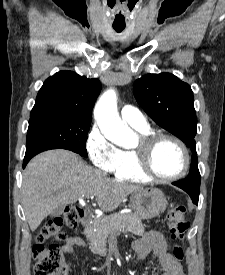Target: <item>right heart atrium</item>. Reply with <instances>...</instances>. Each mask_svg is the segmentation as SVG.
<instances>
[{
	"instance_id": "obj_1",
	"label": "right heart atrium",
	"mask_w": 225,
	"mask_h": 275,
	"mask_svg": "<svg viewBox=\"0 0 225 275\" xmlns=\"http://www.w3.org/2000/svg\"><path fill=\"white\" fill-rule=\"evenodd\" d=\"M86 149L93 165L104 172H113L120 161V149L96 126L86 141Z\"/></svg>"
}]
</instances>
